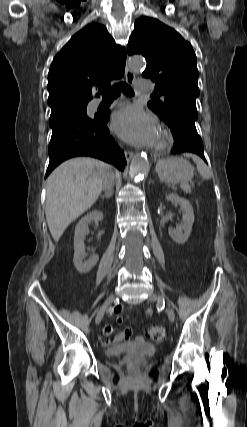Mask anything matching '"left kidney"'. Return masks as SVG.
I'll list each match as a JSON object with an SVG mask.
<instances>
[{
  "instance_id": "obj_1",
  "label": "left kidney",
  "mask_w": 247,
  "mask_h": 427,
  "mask_svg": "<svg viewBox=\"0 0 247 427\" xmlns=\"http://www.w3.org/2000/svg\"><path fill=\"white\" fill-rule=\"evenodd\" d=\"M166 200L178 203L183 212L182 223L176 229L169 228L168 233L177 244H184L190 236L192 225L194 223L192 205L188 200L180 198L177 194L167 195Z\"/></svg>"
}]
</instances>
